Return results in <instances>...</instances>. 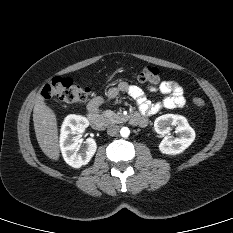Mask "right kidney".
Wrapping results in <instances>:
<instances>
[{
    "label": "right kidney",
    "instance_id": "1",
    "mask_svg": "<svg viewBox=\"0 0 233 233\" xmlns=\"http://www.w3.org/2000/svg\"><path fill=\"white\" fill-rule=\"evenodd\" d=\"M89 121L80 115H68L62 126L60 134V148L67 164L80 168L88 164L96 152L97 144L94 139H86L85 146L80 148L82 139L79 134L87 128Z\"/></svg>",
    "mask_w": 233,
    "mask_h": 233
}]
</instances>
